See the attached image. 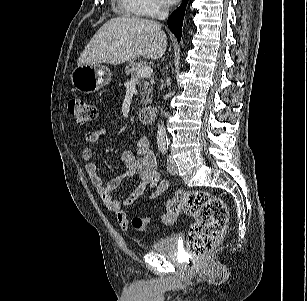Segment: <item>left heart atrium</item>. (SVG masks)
I'll return each instance as SVG.
<instances>
[{
    "mask_svg": "<svg viewBox=\"0 0 307 301\" xmlns=\"http://www.w3.org/2000/svg\"><path fill=\"white\" fill-rule=\"evenodd\" d=\"M165 3L168 5H174L176 4L179 0H163Z\"/></svg>",
    "mask_w": 307,
    "mask_h": 301,
    "instance_id": "1",
    "label": "left heart atrium"
}]
</instances>
